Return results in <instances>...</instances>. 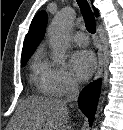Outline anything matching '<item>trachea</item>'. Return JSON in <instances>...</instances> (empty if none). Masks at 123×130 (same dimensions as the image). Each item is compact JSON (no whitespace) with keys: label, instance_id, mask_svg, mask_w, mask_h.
Listing matches in <instances>:
<instances>
[{"label":"trachea","instance_id":"3493384b","mask_svg":"<svg viewBox=\"0 0 123 130\" xmlns=\"http://www.w3.org/2000/svg\"><path fill=\"white\" fill-rule=\"evenodd\" d=\"M80 10L83 14L86 29L89 33H95L96 31V24H95V18L93 16L91 7L87 0H76Z\"/></svg>","mask_w":123,"mask_h":130}]
</instances>
